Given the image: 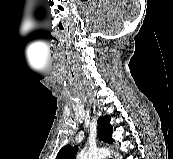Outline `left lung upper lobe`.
Returning <instances> with one entry per match:
<instances>
[{"mask_svg": "<svg viewBox=\"0 0 173 159\" xmlns=\"http://www.w3.org/2000/svg\"><path fill=\"white\" fill-rule=\"evenodd\" d=\"M111 117L101 116L99 117L97 124H98V138L107 143H112V133L113 127L110 125ZM78 151V147L71 145L64 146L56 156V159H74L76 152Z\"/></svg>", "mask_w": 173, "mask_h": 159, "instance_id": "obj_1", "label": "left lung upper lobe"}]
</instances>
